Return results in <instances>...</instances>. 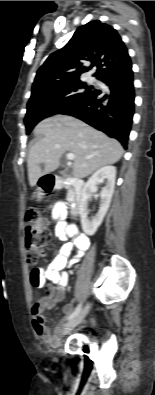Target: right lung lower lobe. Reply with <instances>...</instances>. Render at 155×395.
Segmentation results:
<instances>
[{"instance_id":"right-lung-lower-lobe-1","label":"right lung lower lobe","mask_w":155,"mask_h":395,"mask_svg":"<svg viewBox=\"0 0 155 395\" xmlns=\"http://www.w3.org/2000/svg\"><path fill=\"white\" fill-rule=\"evenodd\" d=\"M109 94L95 90L61 114L74 116L114 137L126 148L134 114L135 90L132 65L102 76Z\"/></svg>"}]
</instances>
